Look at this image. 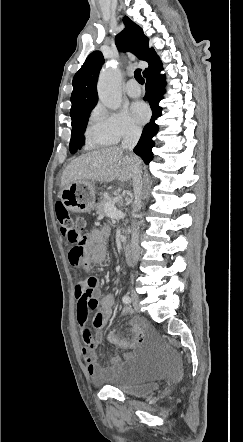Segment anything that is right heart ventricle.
<instances>
[{"mask_svg":"<svg viewBox=\"0 0 243 442\" xmlns=\"http://www.w3.org/2000/svg\"><path fill=\"white\" fill-rule=\"evenodd\" d=\"M85 139L87 146L90 148L104 147L113 143L110 138L100 131L95 116L91 118L86 129Z\"/></svg>","mask_w":243,"mask_h":442,"instance_id":"1","label":"right heart ventricle"}]
</instances>
